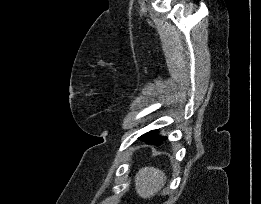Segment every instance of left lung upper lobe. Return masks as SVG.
<instances>
[{"instance_id": "5c2ea615", "label": "left lung upper lobe", "mask_w": 261, "mask_h": 204, "mask_svg": "<svg viewBox=\"0 0 261 204\" xmlns=\"http://www.w3.org/2000/svg\"><path fill=\"white\" fill-rule=\"evenodd\" d=\"M157 135V130H153L150 132H147L146 134L142 135L139 139L145 142L150 141L152 138H155Z\"/></svg>"}]
</instances>
